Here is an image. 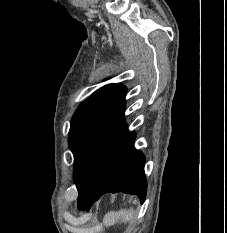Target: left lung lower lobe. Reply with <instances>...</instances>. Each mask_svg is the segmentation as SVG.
<instances>
[{
  "mask_svg": "<svg viewBox=\"0 0 227 233\" xmlns=\"http://www.w3.org/2000/svg\"><path fill=\"white\" fill-rule=\"evenodd\" d=\"M135 133L127 135L111 157L97 189L78 200V208L89 210L107 192L136 194L143 202L147 184L144 173L145 156L134 147Z\"/></svg>",
  "mask_w": 227,
  "mask_h": 233,
  "instance_id": "left-lung-lower-lobe-1",
  "label": "left lung lower lobe"
}]
</instances>
